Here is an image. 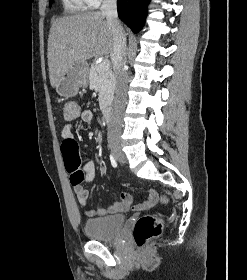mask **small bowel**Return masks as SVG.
Instances as JSON below:
<instances>
[{
  "label": "small bowel",
  "mask_w": 247,
  "mask_h": 280,
  "mask_svg": "<svg viewBox=\"0 0 247 280\" xmlns=\"http://www.w3.org/2000/svg\"><path fill=\"white\" fill-rule=\"evenodd\" d=\"M79 119L82 122L85 123H90L95 119V114L91 110H85L80 112L79 114ZM76 126L72 122H68L67 124L64 125L61 135L63 138V141L67 140H75L74 134H75ZM84 172V182H90L93 180L95 176V167L92 163L87 162L84 164L82 168ZM76 198L80 205L86 207L88 203V190H83V191H74ZM158 199V194L155 190H150L145 199L136 206V209H146L151 206H153ZM131 197L127 193H122L120 195V200L115 202L113 205L108 207L107 209H91V208H85L84 214L87 217H96V216H106V215H112V214H117L120 212H125L128 211L131 207Z\"/></svg>",
  "instance_id": "c3829d8e"
}]
</instances>
